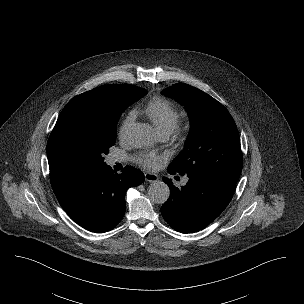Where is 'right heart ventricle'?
I'll list each match as a JSON object with an SVG mask.
<instances>
[{
  "mask_svg": "<svg viewBox=\"0 0 304 304\" xmlns=\"http://www.w3.org/2000/svg\"><path fill=\"white\" fill-rule=\"evenodd\" d=\"M145 112L160 134H170L179 116L175 105L162 97L149 100Z\"/></svg>",
  "mask_w": 304,
  "mask_h": 304,
  "instance_id": "1",
  "label": "right heart ventricle"
}]
</instances>
